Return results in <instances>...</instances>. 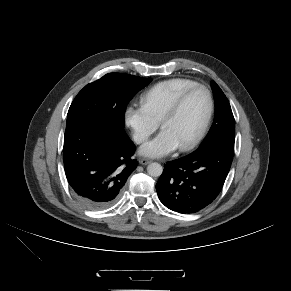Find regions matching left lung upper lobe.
Instances as JSON below:
<instances>
[{
    "label": "left lung upper lobe",
    "mask_w": 291,
    "mask_h": 291,
    "mask_svg": "<svg viewBox=\"0 0 291 291\" xmlns=\"http://www.w3.org/2000/svg\"><path fill=\"white\" fill-rule=\"evenodd\" d=\"M211 87L215 98V118L208 135L199 148L216 142L234 144L235 141V120L229 101L215 81L211 82Z\"/></svg>",
    "instance_id": "5c2ea615"
}]
</instances>
